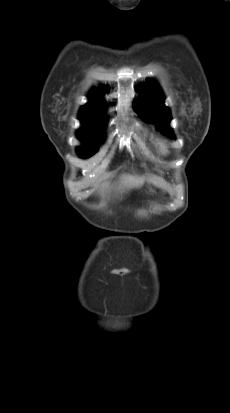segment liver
<instances>
[{
    "label": "liver",
    "mask_w": 230,
    "mask_h": 413,
    "mask_svg": "<svg viewBox=\"0 0 230 413\" xmlns=\"http://www.w3.org/2000/svg\"><path fill=\"white\" fill-rule=\"evenodd\" d=\"M144 180L143 178L131 176V175H123L120 178L119 189L125 188H139L143 185Z\"/></svg>",
    "instance_id": "6515ba94"
}]
</instances>
